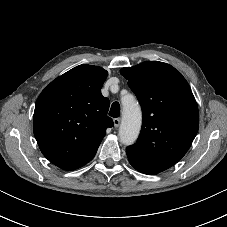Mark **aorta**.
<instances>
[{"label":"aorta","instance_id":"1","mask_svg":"<svg viewBox=\"0 0 227 227\" xmlns=\"http://www.w3.org/2000/svg\"><path fill=\"white\" fill-rule=\"evenodd\" d=\"M122 104V122L119 128V137L124 145H131L140 133L142 113L139 104L134 99L123 101Z\"/></svg>","mask_w":227,"mask_h":227}]
</instances>
